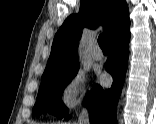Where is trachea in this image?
<instances>
[{"label":"trachea","instance_id":"obj_1","mask_svg":"<svg viewBox=\"0 0 156 124\" xmlns=\"http://www.w3.org/2000/svg\"><path fill=\"white\" fill-rule=\"evenodd\" d=\"M98 43L99 46L102 50H108V39H107V35L105 33H102L99 37H98Z\"/></svg>","mask_w":156,"mask_h":124}]
</instances>
